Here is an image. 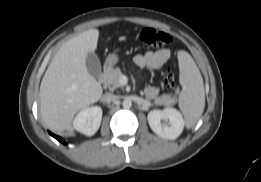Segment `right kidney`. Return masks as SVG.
I'll list each match as a JSON object with an SVG mask.
<instances>
[{"mask_svg": "<svg viewBox=\"0 0 261 182\" xmlns=\"http://www.w3.org/2000/svg\"><path fill=\"white\" fill-rule=\"evenodd\" d=\"M102 120V109L92 106L82 109L73 121L74 128L87 136L94 135L100 127Z\"/></svg>", "mask_w": 261, "mask_h": 182, "instance_id": "ca27d5eb", "label": "right kidney"}]
</instances>
